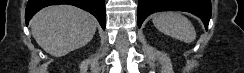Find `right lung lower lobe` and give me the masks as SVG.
Returning a JSON list of instances; mask_svg holds the SVG:
<instances>
[{
    "label": "right lung lower lobe",
    "mask_w": 244,
    "mask_h": 73,
    "mask_svg": "<svg viewBox=\"0 0 244 73\" xmlns=\"http://www.w3.org/2000/svg\"><path fill=\"white\" fill-rule=\"evenodd\" d=\"M55 4H70L93 14L105 29V0H29L26 6L25 20H29L43 7Z\"/></svg>",
    "instance_id": "right-lung-lower-lobe-1"
}]
</instances>
